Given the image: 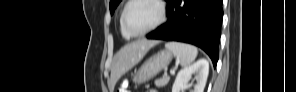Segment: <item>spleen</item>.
<instances>
[{
  "label": "spleen",
  "instance_id": "obj_1",
  "mask_svg": "<svg viewBox=\"0 0 296 92\" xmlns=\"http://www.w3.org/2000/svg\"><path fill=\"white\" fill-rule=\"evenodd\" d=\"M165 47L177 56L182 67L189 66L198 54L196 47L185 43L168 42L165 44Z\"/></svg>",
  "mask_w": 296,
  "mask_h": 92
}]
</instances>
